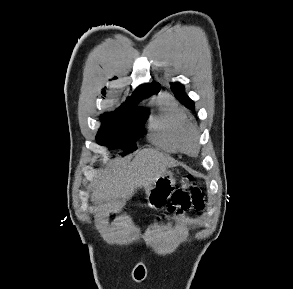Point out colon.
Segmentation results:
<instances>
[{
    "label": "colon",
    "instance_id": "obj_1",
    "mask_svg": "<svg viewBox=\"0 0 293 289\" xmlns=\"http://www.w3.org/2000/svg\"><path fill=\"white\" fill-rule=\"evenodd\" d=\"M204 207L200 188L193 184L192 178H184L182 187L174 191L172 195V203L168 206L167 213L169 215H181L189 210L202 212Z\"/></svg>",
    "mask_w": 293,
    "mask_h": 289
}]
</instances>
